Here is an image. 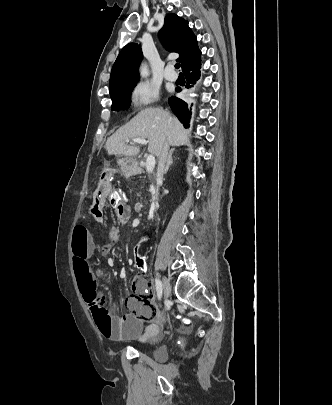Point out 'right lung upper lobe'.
I'll return each instance as SVG.
<instances>
[{"label":"right lung upper lobe","instance_id":"1","mask_svg":"<svg viewBox=\"0 0 332 405\" xmlns=\"http://www.w3.org/2000/svg\"><path fill=\"white\" fill-rule=\"evenodd\" d=\"M159 36L167 50L180 54L177 60L182 64V69L200 59L201 51L196 37L188 22L176 14L166 15ZM142 57L141 45L129 43L123 47L113 65L109 89L122 82L138 80V67Z\"/></svg>","mask_w":332,"mask_h":405}]
</instances>
